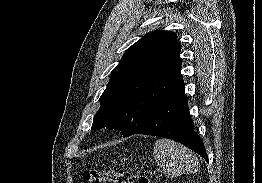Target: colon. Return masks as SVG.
<instances>
[{
    "label": "colon",
    "instance_id": "5ec220e1",
    "mask_svg": "<svg viewBox=\"0 0 262 183\" xmlns=\"http://www.w3.org/2000/svg\"><path fill=\"white\" fill-rule=\"evenodd\" d=\"M84 183H150L145 176L134 175L125 171L116 170H89L82 174Z\"/></svg>",
    "mask_w": 262,
    "mask_h": 183
}]
</instances>
